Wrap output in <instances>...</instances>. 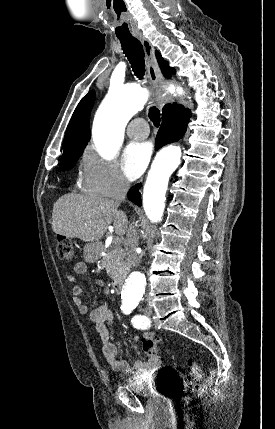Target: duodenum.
Returning <instances> with one entry per match:
<instances>
[{"instance_id": "duodenum-1", "label": "duodenum", "mask_w": 275, "mask_h": 429, "mask_svg": "<svg viewBox=\"0 0 275 429\" xmlns=\"http://www.w3.org/2000/svg\"><path fill=\"white\" fill-rule=\"evenodd\" d=\"M123 285V279L121 277L115 278L112 282V287L116 293H120Z\"/></svg>"}]
</instances>
